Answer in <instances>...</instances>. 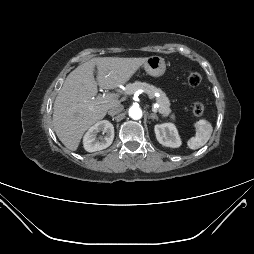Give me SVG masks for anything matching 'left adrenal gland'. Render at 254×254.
<instances>
[{
	"label": "left adrenal gland",
	"instance_id": "1",
	"mask_svg": "<svg viewBox=\"0 0 254 254\" xmlns=\"http://www.w3.org/2000/svg\"><path fill=\"white\" fill-rule=\"evenodd\" d=\"M149 117L153 120H158L159 119L158 116L155 113H151Z\"/></svg>",
	"mask_w": 254,
	"mask_h": 254
}]
</instances>
